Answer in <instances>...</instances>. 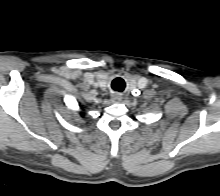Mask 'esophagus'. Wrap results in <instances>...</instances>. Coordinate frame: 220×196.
I'll use <instances>...</instances> for the list:
<instances>
[{"label": "esophagus", "instance_id": "obj_1", "mask_svg": "<svg viewBox=\"0 0 220 196\" xmlns=\"http://www.w3.org/2000/svg\"><path fill=\"white\" fill-rule=\"evenodd\" d=\"M121 99H122V97H121V95L120 94H118V93H116V92H114V93H112L111 94V100H112V102L113 103H120L121 102Z\"/></svg>", "mask_w": 220, "mask_h": 196}]
</instances>
